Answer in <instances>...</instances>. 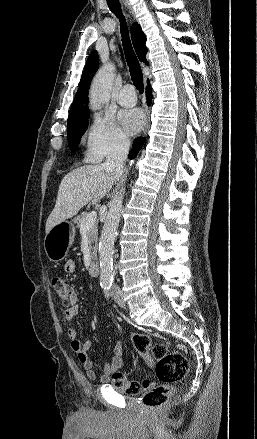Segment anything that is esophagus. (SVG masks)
<instances>
[{"mask_svg": "<svg viewBox=\"0 0 257 439\" xmlns=\"http://www.w3.org/2000/svg\"><path fill=\"white\" fill-rule=\"evenodd\" d=\"M148 128H149V122L147 123V126H146V128H145V130H144V134H146Z\"/></svg>", "mask_w": 257, "mask_h": 439, "instance_id": "esophagus-1", "label": "esophagus"}]
</instances>
